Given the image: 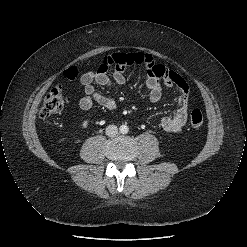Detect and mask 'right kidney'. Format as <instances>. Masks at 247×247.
Here are the masks:
<instances>
[{"instance_id": "obj_1", "label": "right kidney", "mask_w": 247, "mask_h": 247, "mask_svg": "<svg viewBox=\"0 0 247 247\" xmlns=\"http://www.w3.org/2000/svg\"><path fill=\"white\" fill-rule=\"evenodd\" d=\"M87 125H88V120L83 121V123H82V127H83V128H86V127H87Z\"/></svg>"}]
</instances>
